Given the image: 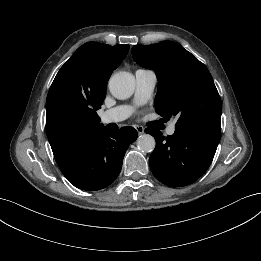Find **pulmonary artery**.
Returning a JSON list of instances; mask_svg holds the SVG:
<instances>
[{
    "mask_svg": "<svg viewBox=\"0 0 261 261\" xmlns=\"http://www.w3.org/2000/svg\"><path fill=\"white\" fill-rule=\"evenodd\" d=\"M136 90L134 103L141 105L146 103L152 96L157 77L151 70L139 69L135 73ZM133 112V107L130 105H120L106 110L101 115V122L104 124L117 123L127 119ZM175 132V124L172 123L167 128V134L173 135Z\"/></svg>",
    "mask_w": 261,
    "mask_h": 261,
    "instance_id": "obj_1",
    "label": "pulmonary artery"
}]
</instances>
